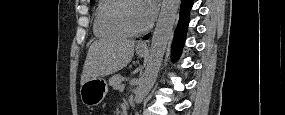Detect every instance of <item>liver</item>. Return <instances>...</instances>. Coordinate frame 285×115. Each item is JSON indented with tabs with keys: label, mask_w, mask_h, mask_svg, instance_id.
<instances>
[{
	"label": "liver",
	"mask_w": 285,
	"mask_h": 115,
	"mask_svg": "<svg viewBox=\"0 0 285 115\" xmlns=\"http://www.w3.org/2000/svg\"><path fill=\"white\" fill-rule=\"evenodd\" d=\"M135 41L125 38L100 39L91 44L81 75V85L126 67L134 55Z\"/></svg>",
	"instance_id": "obj_1"
}]
</instances>
